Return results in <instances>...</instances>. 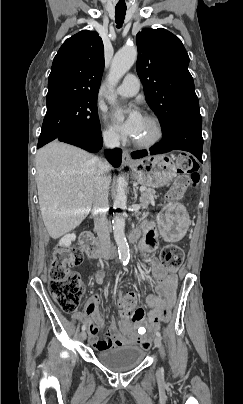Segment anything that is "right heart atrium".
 <instances>
[{
	"label": "right heart atrium",
	"mask_w": 243,
	"mask_h": 404,
	"mask_svg": "<svg viewBox=\"0 0 243 404\" xmlns=\"http://www.w3.org/2000/svg\"><path fill=\"white\" fill-rule=\"evenodd\" d=\"M102 139L105 144L112 147H119L123 143V138L113 129L103 128Z\"/></svg>",
	"instance_id": "obj_1"
}]
</instances>
